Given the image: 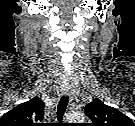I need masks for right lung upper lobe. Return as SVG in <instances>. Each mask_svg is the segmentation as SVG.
Returning a JSON list of instances; mask_svg holds the SVG:
<instances>
[{"instance_id": "obj_1", "label": "right lung upper lobe", "mask_w": 135, "mask_h": 126, "mask_svg": "<svg viewBox=\"0 0 135 126\" xmlns=\"http://www.w3.org/2000/svg\"><path fill=\"white\" fill-rule=\"evenodd\" d=\"M44 102L34 97L5 113L0 126H40L44 119Z\"/></svg>"}]
</instances>
